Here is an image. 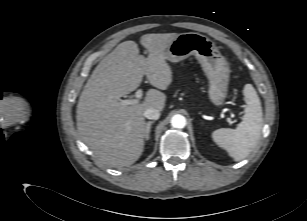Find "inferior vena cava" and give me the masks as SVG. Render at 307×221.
I'll return each mask as SVG.
<instances>
[{
	"label": "inferior vena cava",
	"instance_id": "602c4592",
	"mask_svg": "<svg viewBox=\"0 0 307 221\" xmlns=\"http://www.w3.org/2000/svg\"><path fill=\"white\" fill-rule=\"evenodd\" d=\"M144 117L151 120H157L160 117V110L156 108H148L144 112Z\"/></svg>",
	"mask_w": 307,
	"mask_h": 221
}]
</instances>
